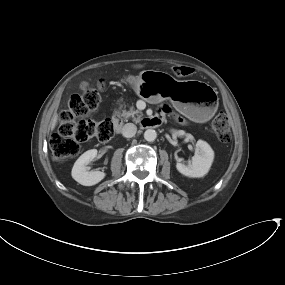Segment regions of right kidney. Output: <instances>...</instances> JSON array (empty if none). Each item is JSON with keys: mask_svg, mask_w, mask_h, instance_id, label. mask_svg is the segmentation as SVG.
<instances>
[{"mask_svg": "<svg viewBox=\"0 0 285 285\" xmlns=\"http://www.w3.org/2000/svg\"><path fill=\"white\" fill-rule=\"evenodd\" d=\"M97 156V150L91 149L84 152L74 163L72 178L84 186H92L99 183L105 177L101 171H88L87 165Z\"/></svg>", "mask_w": 285, "mask_h": 285, "instance_id": "1", "label": "right kidney"}]
</instances>
